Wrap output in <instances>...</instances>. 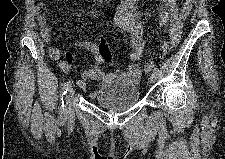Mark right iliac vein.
<instances>
[{"mask_svg": "<svg viewBox=\"0 0 225 159\" xmlns=\"http://www.w3.org/2000/svg\"><path fill=\"white\" fill-rule=\"evenodd\" d=\"M74 93L75 92L73 87L70 86L67 91V101H66L67 113L69 114L72 112Z\"/></svg>", "mask_w": 225, "mask_h": 159, "instance_id": "63e3f726", "label": "right iliac vein"}]
</instances>
